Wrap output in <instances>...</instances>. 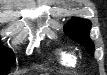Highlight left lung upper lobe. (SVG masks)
<instances>
[{
	"instance_id": "5c2ea615",
	"label": "left lung upper lobe",
	"mask_w": 107,
	"mask_h": 75,
	"mask_svg": "<svg viewBox=\"0 0 107 75\" xmlns=\"http://www.w3.org/2000/svg\"><path fill=\"white\" fill-rule=\"evenodd\" d=\"M91 29L90 21L82 18H74L66 25L65 34L74 41L83 45L90 54L94 53V44L89 38V31Z\"/></svg>"
}]
</instances>
